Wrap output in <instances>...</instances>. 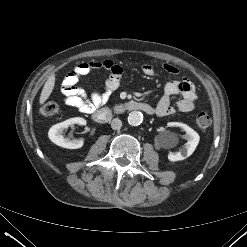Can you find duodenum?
<instances>
[{
    "label": "duodenum",
    "mask_w": 247,
    "mask_h": 247,
    "mask_svg": "<svg viewBox=\"0 0 247 247\" xmlns=\"http://www.w3.org/2000/svg\"><path fill=\"white\" fill-rule=\"evenodd\" d=\"M130 111H141L148 115L156 113L155 108L149 103L130 100L114 106L113 108H101L93 113V119L100 124L107 123L114 115L124 114Z\"/></svg>",
    "instance_id": "410a0bca"
}]
</instances>
